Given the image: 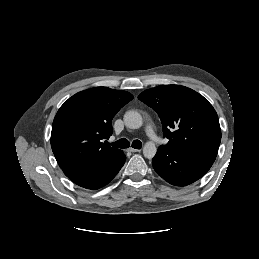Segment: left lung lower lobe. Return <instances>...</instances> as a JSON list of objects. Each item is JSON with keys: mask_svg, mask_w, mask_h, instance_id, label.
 <instances>
[{"mask_svg": "<svg viewBox=\"0 0 259 259\" xmlns=\"http://www.w3.org/2000/svg\"><path fill=\"white\" fill-rule=\"evenodd\" d=\"M215 158L208 154H182L161 145L152 165L158 175L170 184L186 186L205 175Z\"/></svg>", "mask_w": 259, "mask_h": 259, "instance_id": "1", "label": "left lung lower lobe"}]
</instances>
